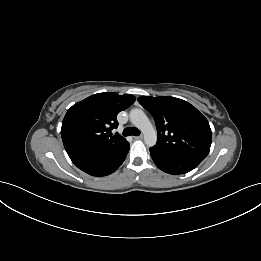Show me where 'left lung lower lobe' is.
Returning <instances> with one entry per match:
<instances>
[{"label":"left lung lower lobe","mask_w":261,"mask_h":261,"mask_svg":"<svg viewBox=\"0 0 261 261\" xmlns=\"http://www.w3.org/2000/svg\"><path fill=\"white\" fill-rule=\"evenodd\" d=\"M150 154L159 169L172 175L187 173L202 161L189 155L168 151L156 146L150 148Z\"/></svg>","instance_id":"0a47b994"}]
</instances>
